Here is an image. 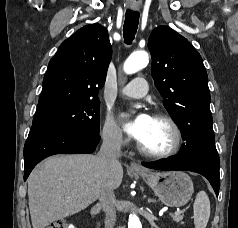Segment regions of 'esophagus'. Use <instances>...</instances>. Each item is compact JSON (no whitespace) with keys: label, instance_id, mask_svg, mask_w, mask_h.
I'll use <instances>...</instances> for the list:
<instances>
[{"label":"esophagus","instance_id":"34e87169","mask_svg":"<svg viewBox=\"0 0 238 228\" xmlns=\"http://www.w3.org/2000/svg\"><path fill=\"white\" fill-rule=\"evenodd\" d=\"M130 167L132 169H135V170H141L142 169L141 166L138 163H136V162H131L130 163Z\"/></svg>","mask_w":238,"mask_h":228}]
</instances>
